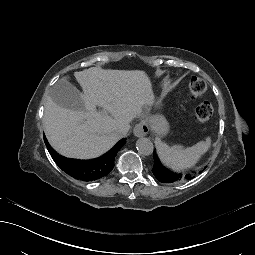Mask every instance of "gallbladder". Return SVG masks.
Here are the masks:
<instances>
[{
	"label": "gallbladder",
	"instance_id": "obj_1",
	"mask_svg": "<svg viewBox=\"0 0 255 255\" xmlns=\"http://www.w3.org/2000/svg\"><path fill=\"white\" fill-rule=\"evenodd\" d=\"M82 93L68 80L59 79L50 89L49 96L58 106L75 111L85 110Z\"/></svg>",
	"mask_w": 255,
	"mask_h": 255
}]
</instances>
